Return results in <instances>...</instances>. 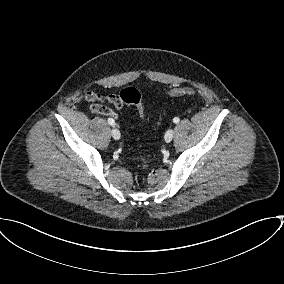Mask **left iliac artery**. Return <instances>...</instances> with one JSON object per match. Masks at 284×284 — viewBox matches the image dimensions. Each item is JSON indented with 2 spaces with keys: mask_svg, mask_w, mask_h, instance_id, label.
Instances as JSON below:
<instances>
[{
  "mask_svg": "<svg viewBox=\"0 0 284 284\" xmlns=\"http://www.w3.org/2000/svg\"><path fill=\"white\" fill-rule=\"evenodd\" d=\"M173 122H174V123H178V122H179V118H178V117H175V118L173 119Z\"/></svg>",
  "mask_w": 284,
  "mask_h": 284,
  "instance_id": "44dca946",
  "label": "left iliac artery"
}]
</instances>
